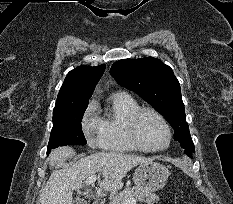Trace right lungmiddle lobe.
Instances as JSON below:
<instances>
[{"instance_id":"right-lung-middle-lobe-1","label":"right lung middle lobe","mask_w":233,"mask_h":204,"mask_svg":"<svg viewBox=\"0 0 233 204\" xmlns=\"http://www.w3.org/2000/svg\"><path fill=\"white\" fill-rule=\"evenodd\" d=\"M87 105L79 104L54 108L53 128L48 143V153L59 146L86 144L81 120Z\"/></svg>"}]
</instances>
